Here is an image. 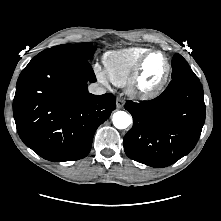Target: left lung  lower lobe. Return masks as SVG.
I'll return each mask as SVG.
<instances>
[{
	"mask_svg": "<svg viewBox=\"0 0 221 221\" xmlns=\"http://www.w3.org/2000/svg\"><path fill=\"white\" fill-rule=\"evenodd\" d=\"M204 93L193 71L172 78L157 98L133 103L125 109L134 119L124 136L126 155L148 166L175 163L195 147L205 122Z\"/></svg>",
	"mask_w": 221,
	"mask_h": 221,
	"instance_id": "obj_1",
	"label": "left lung lower lobe"
}]
</instances>
